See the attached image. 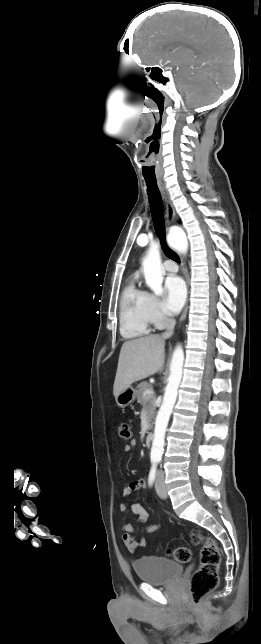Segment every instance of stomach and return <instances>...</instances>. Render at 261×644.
<instances>
[{
	"mask_svg": "<svg viewBox=\"0 0 261 644\" xmlns=\"http://www.w3.org/2000/svg\"><path fill=\"white\" fill-rule=\"evenodd\" d=\"M136 398V390L129 386L115 397L116 403L120 407H126L132 404Z\"/></svg>",
	"mask_w": 261,
	"mask_h": 644,
	"instance_id": "0dacf381",
	"label": "stomach"
}]
</instances>
